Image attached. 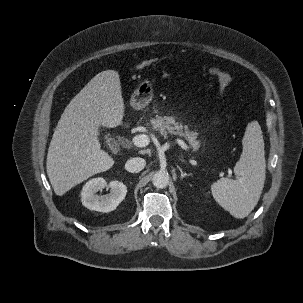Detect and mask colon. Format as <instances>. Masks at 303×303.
<instances>
[{
  "label": "colon",
  "mask_w": 303,
  "mask_h": 303,
  "mask_svg": "<svg viewBox=\"0 0 303 303\" xmlns=\"http://www.w3.org/2000/svg\"><path fill=\"white\" fill-rule=\"evenodd\" d=\"M153 62L152 59L144 60L137 65V69L147 68L151 66ZM209 73L218 81L222 93H225L232 85V78L226 71L217 67H211L209 68Z\"/></svg>",
  "instance_id": "1"
}]
</instances>
